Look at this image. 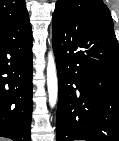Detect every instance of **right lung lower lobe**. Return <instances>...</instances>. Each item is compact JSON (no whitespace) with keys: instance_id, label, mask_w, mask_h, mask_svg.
Returning <instances> with one entry per match:
<instances>
[{"instance_id":"obj_1","label":"right lung lower lobe","mask_w":119,"mask_h":141,"mask_svg":"<svg viewBox=\"0 0 119 141\" xmlns=\"http://www.w3.org/2000/svg\"><path fill=\"white\" fill-rule=\"evenodd\" d=\"M32 45L29 16L0 24V137L30 141Z\"/></svg>"}]
</instances>
